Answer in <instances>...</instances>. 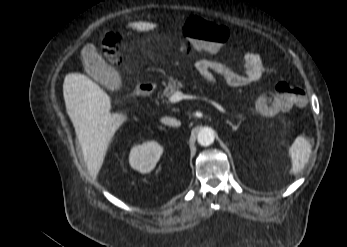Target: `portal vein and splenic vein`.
Masks as SVG:
<instances>
[{"mask_svg":"<svg viewBox=\"0 0 347 247\" xmlns=\"http://www.w3.org/2000/svg\"><path fill=\"white\" fill-rule=\"evenodd\" d=\"M183 99H201L203 101H207L209 103H211L214 107H216L220 112L222 113H227L226 110L217 102L208 99L207 97H196V96H192V95H185L183 94L181 91L177 90L176 92H174L170 97H169V101L171 103H176L179 102Z\"/></svg>","mask_w":347,"mask_h":247,"instance_id":"1","label":"portal vein and splenic vein"}]
</instances>
